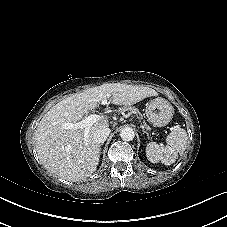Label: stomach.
<instances>
[{
	"instance_id": "0dacf381",
	"label": "stomach",
	"mask_w": 227,
	"mask_h": 227,
	"mask_svg": "<svg viewBox=\"0 0 227 227\" xmlns=\"http://www.w3.org/2000/svg\"><path fill=\"white\" fill-rule=\"evenodd\" d=\"M145 113L148 121L153 126L163 127L171 121L174 108L166 99L159 97L149 103Z\"/></svg>"
}]
</instances>
